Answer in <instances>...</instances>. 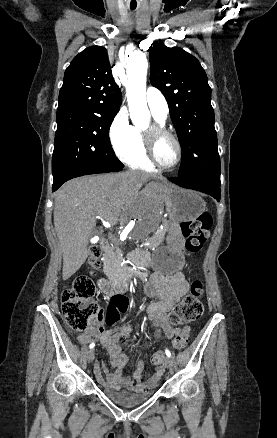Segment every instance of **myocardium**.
<instances>
[{"instance_id":"myocardium-1","label":"myocardium","mask_w":277,"mask_h":438,"mask_svg":"<svg viewBox=\"0 0 277 438\" xmlns=\"http://www.w3.org/2000/svg\"><path fill=\"white\" fill-rule=\"evenodd\" d=\"M168 137L174 141L177 147V157L173 165L165 166L158 158L157 147L161 138ZM143 142L150 161L159 169L173 170L175 169L182 159L183 148L179 138L171 131L166 129L160 123H153L148 130L143 133Z\"/></svg>"}]
</instances>
